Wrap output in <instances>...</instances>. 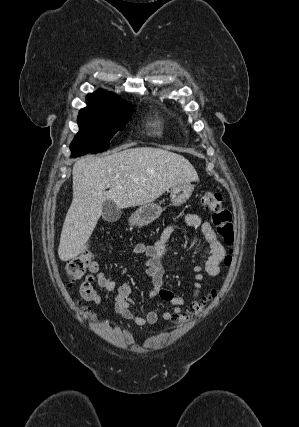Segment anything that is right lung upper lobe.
<instances>
[{
    "instance_id": "obj_1",
    "label": "right lung upper lobe",
    "mask_w": 299,
    "mask_h": 427,
    "mask_svg": "<svg viewBox=\"0 0 299 427\" xmlns=\"http://www.w3.org/2000/svg\"><path fill=\"white\" fill-rule=\"evenodd\" d=\"M87 104H99V103H112L117 101H122V99L113 93L106 91H96L92 94L87 95Z\"/></svg>"
}]
</instances>
